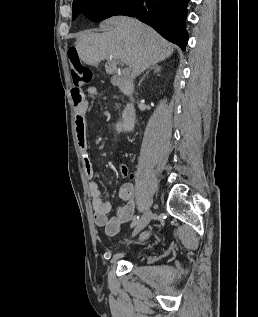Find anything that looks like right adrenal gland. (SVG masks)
I'll use <instances>...</instances> for the list:
<instances>
[{"mask_svg": "<svg viewBox=\"0 0 258 317\" xmlns=\"http://www.w3.org/2000/svg\"><path fill=\"white\" fill-rule=\"evenodd\" d=\"M160 68H161V66H159V64H152V66H150L149 70H147L146 74H148V72H150V70H154V72H157V76H160V74H159ZM146 74H144V76H142L141 80H139L138 86H140V84H141L142 80H144Z\"/></svg>", "mask_w": 258, "mask_h": 317, "instance_id": "obj_1", "label": "right adrenal gland"}]
</instances>
